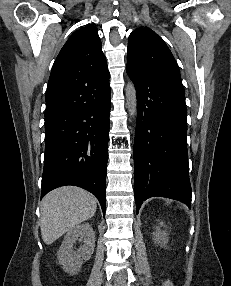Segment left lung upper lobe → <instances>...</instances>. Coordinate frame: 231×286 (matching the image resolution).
<instances>
[{
	"instance_id": "left-lung-upper-lobe-1",
	"label": "left lung upper lobe",
	"mask_w": 231,
	"mask_h": 286,
	"mask_svg": "<svg viewBox=\"0 0 231 286\" xmlns=\"http://www.w3.org/2000/svg\"><path fill=\"white\" fill-rule=\"evenodd\" d=\"M127 66L148 77L182 85L180 71L171 51L147 27H140L130 34Z\"/></svg>"
}]
</instances>
